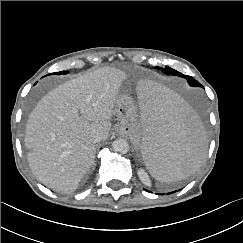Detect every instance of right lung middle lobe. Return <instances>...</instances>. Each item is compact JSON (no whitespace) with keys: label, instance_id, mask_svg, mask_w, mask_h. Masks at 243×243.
<instances>
[{"label":"right lung middle lobe","instance_id":"1","mask_svg":"<svg viewBox=\"0 0 243 243\" xmlns=\"http://www.w3.org/2000/svg\"><path fill=\"white\" fill-rule=\"evenodd\" d=\"M68 73L67 71H61V72H58V73H53V74H58V75H61V74H66Z\"/></svg>","mask_w":243,"mask_h":243}]
</instances>
